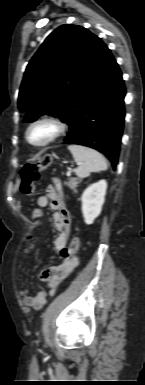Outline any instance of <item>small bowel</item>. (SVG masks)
Segmentation results:
<instances>
[{
	"label": "small bowel",
	"instance_id": "obj_1",
	"mask_svg": "<svg viewBox=\"0 0 145 385\" xmlns=\"http://www.w3.org/2000/svg\"><path fill=\"white\" fill-rule=\"evenodd\" d=\"M37 204L41 208L50 207L53 210V221L57 232L54 240V249L60 251L67 245L70 236V214L67 210L61 183L53 179L46 188V193L40 196ZM74 265L69 260H63L61 264L44 269L41 279L47 283L46 290L31 291L28 287L20 290L23 306L40 310L48 301V295H53L60 284L72 273Z\"/></svg>",
	"mask_w": 145,
	"mask_h": 385
}]
</instances>
